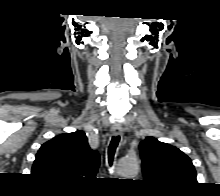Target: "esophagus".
I'll list each match as a JSON object with an SVG mask.
<instances>
[{
    "label": "esophagus",
    "instance_id": "34e87169",
    "mask_svg": "<svg viewBox=\"0 0 220 196\" xmlns=\"http://www.w3.org/2000/svg\"><path fill=\"white\" fill-rule=\"evenodd\" d=\"M111 132L115 136L120 135V134H122V128L119 127V126H112L111 127Z\"/></svg>",
    "mask_w": 220,
    "mask_h": 196
}]
</instances>
